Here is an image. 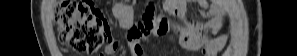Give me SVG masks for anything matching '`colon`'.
<instances>
[{
	"label": "colon",
	"mask_w": 297,
	"mask_h": 56,
	"mask_svg": "<svg viewBox=\"0 0 297 56\" xmlns=\"http://www.w3.org/2000/svg\"><path fill=\"white\" fill-rule=\"evenodd\" d=\"M55 16L60 41L75 52L93 54L110 37L108 21L89 0L59 1Z\"/></svg>",
	"instance_id": "1"
}]
</instances>
